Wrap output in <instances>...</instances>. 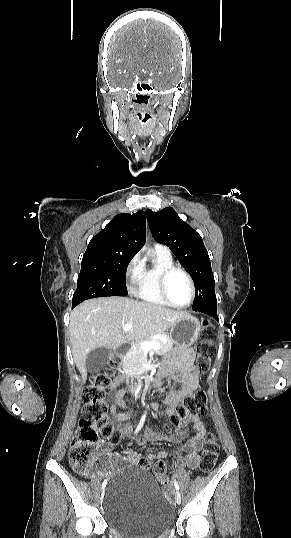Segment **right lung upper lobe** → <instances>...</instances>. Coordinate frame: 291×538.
I'll use <instances>...</instances> for the list:
<instances>
[{"instance_id": "1", "label": "right lung upper lobe", "mask_w": 291, "mask_h": 538, "mask_svg": "<svg viewBox=\"0 0 291 538\" xmlns=\"http://www.w3.org/2000/svg\"><path fill=\"white\" fill-rule=\"evenodd\" d=\"M146 240V218L143 211L132 215L118 214L89 242L85 253L105 252L135 255Z\"/></svg>"}]
</instances>
